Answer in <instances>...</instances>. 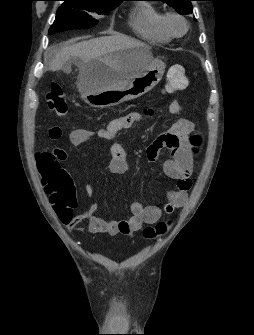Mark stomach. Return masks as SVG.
I'll return each instance as SVG.
<instances>
[{"label": "stomach", "mask_w": 254, "mask_h": 335, "mask_svg": "<svg viewBox=\"0 0 254 335\" xmlns=\"http://www.w3.org/2000/svg\"><path fill=\"white\" fill-rule=\"evenodd\" d=\"M165 64L149 54L142 45L114 52L109 59L97 58L78 82L82 99L91 107L106 108L136 99L152 90L162 79ZM132 76L119 87H108L112 76Z\"/></svg>", "instance_id": "1"}]
</instances>
